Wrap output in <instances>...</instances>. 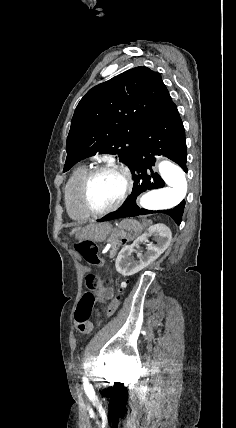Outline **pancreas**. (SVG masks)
I'll list each match as a JSON object with an SVG mask.
<instances>
[{
  "label": "pancreas",
  "mask_w": 236,
  "mask_h": 428,
  "mask_svg": "<svg viewBox=\"0 0 236 428\" xmlns=\"http://www.w3.org/2000/svg\"><path fill=\"white\" fill-rule=\"evenodd\" d=\"M118 246H120V240H112L111 250L109 252L110 258H114L115 254L118 250Z\"/></svg>",
  "instance_id": "pancreas-1"
}]
</instances>
